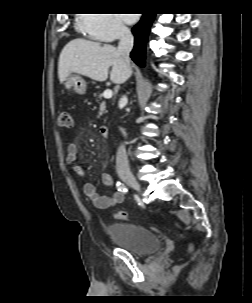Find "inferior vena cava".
<instances>
[{
    "instance_id": "inferior-vena-cava-1",
    "label": "inferior vena cava",
    "mask_w": 252,
    "mask_h": 303,
    "mask_svg": "<svg viewBox=\"0 0 252 303\" xmlns=\"http://www.w3.org/2000/svg\"><path fill=\"white\" fill-rule=\"evenodd\" d=\"M119 44H118V52L120 53L122 59L127 64L128 68H130V52L133 48L134 37L128 27L125 25H121L119 28ZM121 102L126 104L127 97L123 96L121 98ZM116 170L119 175L130 174L129 162L126 154V148L123 144H121L117 150L116 154Z\"/></svg>"
}]
</instances>
